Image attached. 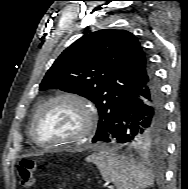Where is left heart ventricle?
Returning a JSON list of instances; mask_svg holds the SVG:
<instances>
[{
    "mask_svg": "<svg viewBox=\"0 0 188 189\" xmlns=\"http://www.w3.org/2000/svg\"><path fill=\"white\" fill-rule=\"evenodd\" d=\"M83 125V114L74 103L60 101L48 106L40 115L36 134L43 142H53L74 136Z\"/></svg>",
    "mask_w": 188,
    "mask_h": 189,
    "instance_id": "b2bd125f",
    "label": "left heart ventricle"
}]
</instances>
